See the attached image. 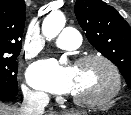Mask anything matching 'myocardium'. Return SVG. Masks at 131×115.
Returning <instances> with one entry per match:
<instances>
[{
    "label": "myocardium",
    "mask_w": 131,
    "mask_h": 115,
    "mask_svg": "<svg viewBox=\"0 0 131 115\" xmlns=\"http://www.w3.org/2000/svg\"><path fill=\"white\" fill-rule=\"evenodd\" d=\"M94 60L104 63L110 69L114 78V85L106 95L98 98L86 99V98H79L72 95L71 97L72 101L79 106H83V107L103 106L109 103L111 100H113L120 93L122 88V76L119 68L112 60H110L108 57L102 54L92 53V54L83 55L76 60L75 65L78 66Z\"/></svg>",
    "instance_id": "f54148a6"
}]
</instances>
